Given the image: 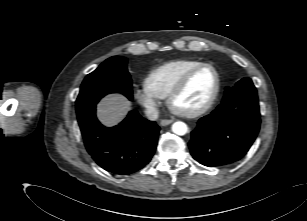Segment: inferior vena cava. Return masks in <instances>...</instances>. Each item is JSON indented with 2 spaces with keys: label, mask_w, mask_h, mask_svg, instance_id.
I'll list each match as a JSON object with an SVG mask.
<instances>
[{
  "label": "inferior vena cava",
  "mask_w": 307,
  "mask_h": 221,
  "mask_svg": "<svg viewBox=\"0 0 307 221\" xmlns=\"http://www.w3.org/2000/svg\"><path fill=\"white\" fill-rule=\"evenodd\" d=\"M145 114H146L147 118L149 120H152V121L157 120L158 116H159L158 109L155 108V107H150V108L146 109Z\"/></svg>",
  "instance_id": "1"
}]
</instances>
